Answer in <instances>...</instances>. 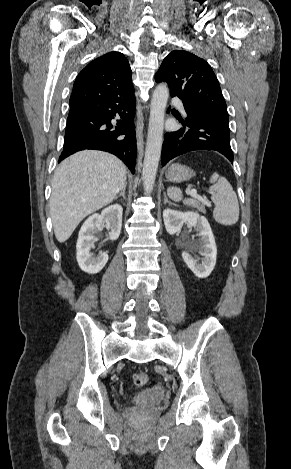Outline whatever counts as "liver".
<instances>
[{
	"mask_svg": "<svg viewBox=\"0 0 291 469\" xmlns=\"http://www.w3.org/2000/svg\"><path fill=\"white\" fill-rule=\"evenodd\" d=\"M126 166L112 154L84 150L60 163L53 181L50 215L63 243L89 214L110 204L126 184Z\"/></svg>",
	"mask_w": 291,
	"mask_h": 469,
	"instance_id": "liver-1",
	"label": "liver"
}]
</instances>
